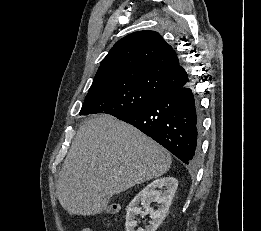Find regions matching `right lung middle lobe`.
<instances>
[{
    "label": "right lung middle lobe",
    "mask_w": 261,
    "mask_h": 231,
    "mask_svg": "<svg viewBox=\"0 0 261 231\" xmlns=\"http://www.w3.org/2000/svg\"><path fill=\"white\" fill-rule=\"evenodd\" d=\"M158 97L136 86L88 93L80 115L107 113L120 117L132 113Z\"/></svg>",
    "instance_id": "obj_1"
}]
</instances>
